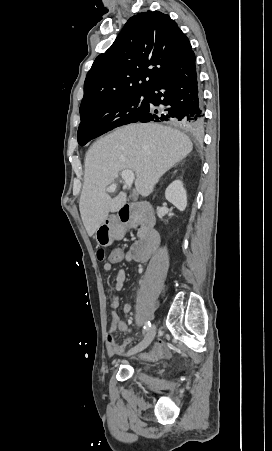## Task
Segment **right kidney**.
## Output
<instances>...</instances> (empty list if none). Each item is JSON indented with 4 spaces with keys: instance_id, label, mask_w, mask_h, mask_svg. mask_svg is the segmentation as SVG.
Listing matches in <instances>:
<instances>
[{
    "instance_id": "obj_1",
    "label": "right kidney",
    "mask_w": 272,
    "mask_h": 451,
    "mask_svg": "<svg viewBox=\"0 0 272 451\" xmlns=\"http://www.w3.org/2000/svg\"><path fill=\"white\" fill-rule=\"evenodd\" d=\"M165 198L168 202H171L173 206H176L180 212H184L187 206V194L181 180H175L165 190Z\"/></svg>"
}]
</instances>
